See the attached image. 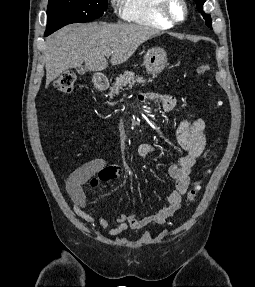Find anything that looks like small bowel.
<instances>
[{
    "label": "small bowel",
    "instance_id": "1",
    "mask_svg": "<svg viewBox=\"0 0 255 287\" xmlns=\"http://www.w3.org/2000/svg\"><path fill=\"white\" fill-rule=\"evenodd\" d=\"M152 97L160 101L165 111H172L177 104L176 98L169 94H155ZM177 140L187 153L168 169V173L174 181L173 189L166 197V205L158 212L144 218H137L131 213H122L114 223L103 217L94 219L87 211L83 186L90 183L91 187H96L101 182L112 181L122 176L120 166L108 164L105 160L97 158L78 167L67 179L66 190L73 202L76 215L92 225L100 224L107 229L111 236H118L129 228L140 229L151 223L163 224L181 208L182 197L190 185L192 168L205 149L204 122L201 119L182 120L177 129ZM154 151L153 144L141 143L136 148V155L139 158H146Z\"/></svg>",
    "mask_w": 255,
    "mask_h": 287
}]
</instances>
